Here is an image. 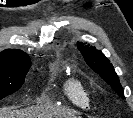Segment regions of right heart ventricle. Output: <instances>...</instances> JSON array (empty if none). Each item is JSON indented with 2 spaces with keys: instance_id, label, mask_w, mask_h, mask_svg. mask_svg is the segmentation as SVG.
<instances>
[{
  "instance_id": "1",
  "label": "right heart ventricle",
  "mask_w": 133,
  "mask_h": 118,
  "mask_svg": "<svg viewBox=\"0 0 133 118\" xmlns=\"http://www.w3.org/2000/svg\"><path fill=\"white\" fill-rule=\"evenodd\" d=\"M62 91L74 106L84 110L91 108L93 98L91 90L79 77H68L63 83Z\"/></svg>"
}]
</instances>
